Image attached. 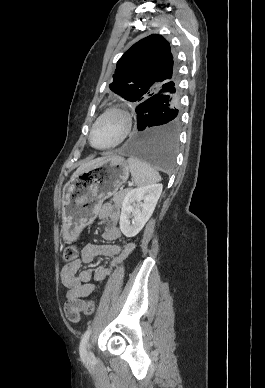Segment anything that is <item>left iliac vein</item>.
I'll return each instance as SVG.
<instances>
[{"mask_svg": "<svg viewBox=\"0 0 265 388\" xmlns=\"http://www.w3.org/2000/svg\"><path fill=\"white\" fill-rule=\"evenodd\" d=\"M90 348H91V344H90V342H89V343L87 344V352H86V357H87V359H91L92 356H93V354H92Z\"/></svg>", "mask_w": 265, "mask_h": 388, "instance_id": "1", "label": "left iliac vein"}]
</instances>
